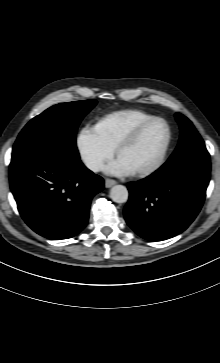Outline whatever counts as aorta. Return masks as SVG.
Returning a JSON list of instances; mask_svg holds the SVG:
<instances>
[{
  "label": "aorta",
  "instance_id": "762f6f07",
  "mask_svg": "<svg viewBox=\"0 0 220 363\" xmlns=\"http://www.w3.org/2000/svg\"><path fill=\"white\" fill-rule=\"evenodd\" d=\"M128 190L123 185H115L110 190V198L116 203H124L128 200Z\"/></svg>",
  "mask_w": 220,
  "mask_h": 363
}]
</instances>
